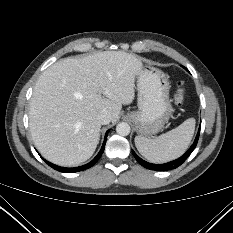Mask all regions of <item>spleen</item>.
Segmentation results:
<instances>
[{
    "label": "spleen",
    "instance_id": "1",
    "mask_svg": "<svg viewBox=\"0 0 233 233\" xmlns=\"http://www.w3.org/2000/svg\"><path fill=\"white\" fill-rule=\"evenodd\" d=\"M195 124V119L189 118L155 139L136 136L135 145L139 153L150 162L164 163L174 160L187 150L194 134Z\"/></svg>",
    "mask_w": 233,
    "mask_h": 233
}]
</instances>
